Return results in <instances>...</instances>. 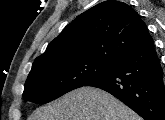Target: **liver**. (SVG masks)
<instances>
[{
	"mask_svg": "<svg viewBox=\"0 0 165 120\" xmlns=\"http://www.w3.org/2000/svg\"><path fill=\"white\" fill-rule=\"evenodd\" d=\"M30 120H141V117L109 93L82 87L40 107Z\"/></svg>",
	"mask_w": 165,
	"mask_h": 120,
	"instance_id": "1",
	"label": "liver"
}]
</instances>
